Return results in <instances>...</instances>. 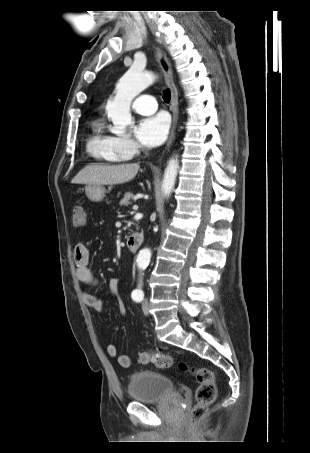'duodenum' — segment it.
Wrapping results in <instances>:
<instances>
[{
	"mask_svg": "<svg viewBox=\"0 0 310 453\" xmlns=\"http://www.w3.org/2000/svg\"><path fill=\"white\" fill-rule=\"evenodd\" d=\"M144 237L141 233H134L129 235L127 239V247L131 252H136L142 245Z\"/></svg>",
	"mask_w": 310,
	"mask_h": 453,
	"instance_id": "410a0bca",
	"label": "duodenum"
}]
</instances>
